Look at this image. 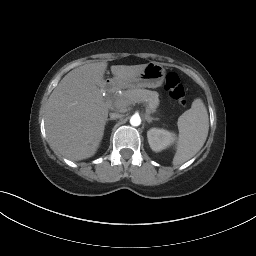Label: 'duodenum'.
<instances>
[{"mask_svg":"<svg viewBox=\"0 0 256 256\" xmlns=\"http://www.w3.org/2000/svg\"><path fill=\"white\" fill-rule=\"evenodd\" d=\"M104 88L106 90H113L115 88V83L111 80L107 81L105 84H104Z\"/></svg>","mask_w":256,"mask_h":256,"instance_id":"obj_1","label":"duodenum"}]
</instances>
